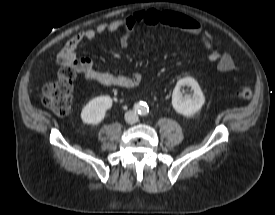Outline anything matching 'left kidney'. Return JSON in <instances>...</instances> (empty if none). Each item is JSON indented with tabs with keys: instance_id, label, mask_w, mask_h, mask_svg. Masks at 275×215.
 <instances>
[{
	"instance_id": "5707ae66",
	"label": "left kidney",
	"mask_w": 275,
	"mask_h": 215,
	"mask_svg": "<svg viewBox=\"0 0 275 215\" xmlns=\"http://www.w3.org/2000/svg\"><path fill=\"white\" fill-rule=\"evenodd\" d=\"M181 86H189L193 90L192 97L183 96L180 91ZM205 102V97L198 82L192 77H184L178 80L172 93V106L176 112L191 116L198 112Z\"/></svg>"
}]
</instances>
